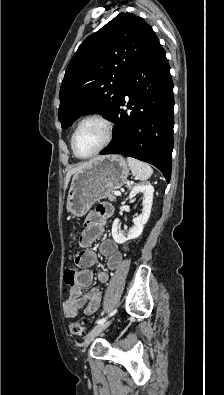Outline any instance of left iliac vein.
Returning a JSON list of instances; mask_svg holds the SVG:
<instances>
[{"instance_id": "left-iliac-vein-1", "label": "left iliac vein", "mask_w": 224, "mask_h": 395, "mask_svg": "<svg viewBox=\"0 0 224 395\" xmlns=\"http://www.w3.org/2000/svg\"><path fill=\"white\" fill-rule=\"evenodd\" d=\"M111 321H105L101 324L96 325L91 329V331L86 335L84 340V347L86 348L102 331H104Z\"/></svg>"}]
</instances>
